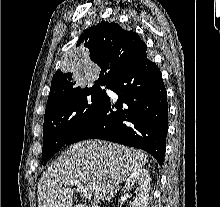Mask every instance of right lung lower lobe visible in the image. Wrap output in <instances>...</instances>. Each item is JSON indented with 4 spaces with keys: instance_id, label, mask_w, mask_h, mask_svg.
<instances>
[{
    "instance_id": "obj_1",
    "label": "right lung lower lobe",
    "mask_w": 220,
    "mask_h": 207,
    "mask_svg": "<svg viewBox=\"0 0 220 207\" xmlns=\"http://www.w3.org/2000/svg\"><path fill=\"white\" fill-rule=\"evenodd\" d=\"M119 100L103 105L70 137L68 144L102 139L149 152L163 164L168 126L167 92L157 65L144 53L109 84Z\"/></svg>"
}]
</instances>
